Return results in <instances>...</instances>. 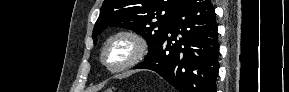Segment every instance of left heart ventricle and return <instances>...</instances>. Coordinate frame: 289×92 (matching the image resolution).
Returning <instances> with one entry per match:
<instances>
[{"mask_svg": "<svg viewBox=\"0 0 289 92\" xmlns=\"http://www.w3.org/2000/svg\"><path fill=\"white\" fill-rule=\"evenodd\" d=\"M131 45L126 40H117L112 43L108 51V61L112 65L122 63L130 55Z\"/></svg>", "mask_w": 289, "mask_h": 92, "instance_id": "b2bd125f", "label": "left heart ventricle"}]
</instances>
